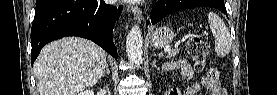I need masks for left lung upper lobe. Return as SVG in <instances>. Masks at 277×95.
Returning a JSON list of instances; mask_svg holds the SVG:
<instances>
[{"label":"left lung upper lobe","instance_id":"1","mask_svg":"<svg viewBox=\"0 0 277 95\" xmlns=\"http://www.w3.org/2000/svg\"><path fill=\"white\" fill-rule=\"evenodd\" d=\"M183 4L189 5V8L204 7V6H219L224 5V0H203L201 3H194L193 0H186Z\"/></svg>","mask_w":277,"mask_h":95}]
</instances>
